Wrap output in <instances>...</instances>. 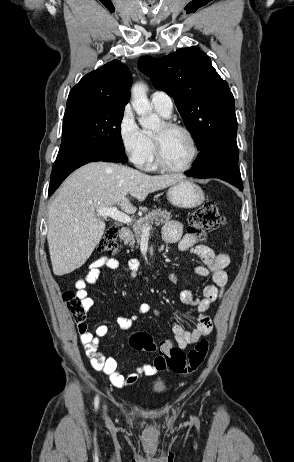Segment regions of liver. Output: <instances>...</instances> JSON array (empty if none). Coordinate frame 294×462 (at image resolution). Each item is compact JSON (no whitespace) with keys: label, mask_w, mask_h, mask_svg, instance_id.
<instances>
[{"label":"liver","mask_w":294,"mask_h":462,"mask_svg":"<svg viewBox=\"0 0 294 462\" xmlns=\"http://www.w3.org/2000/svg\"><path fill=\"white\" fill-rule=\"evenodd\" d=\"M185 179L181 174L151 176L127 166L92 162L74 171L63 183L48 211L53 273L62 276L80 268L99 244L105 222L97 210L119 205L136 212L127 194L142 202L152 192Z\"/></svg>","instance_id":"liver-1"}]
</instances>
